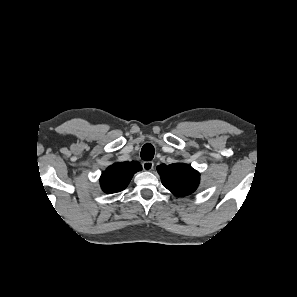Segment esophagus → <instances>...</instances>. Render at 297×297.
<instances>
[{
	"mask_svg": "<svg viewBox=\"0 0 297 297\" xmlns=\"http://www.w3.org/2000/svg\"><path fill=\"white\" fill-rule=\"evenodd\" d=\"M142 167L144 170H152L154 167V163L152 161H144L142 163Z\"/></svg>",
	"mask_w": 297,
	"mask_h": 297,
	"instance_id": "1",
	"label": "esophagus"
}]
</instances>
